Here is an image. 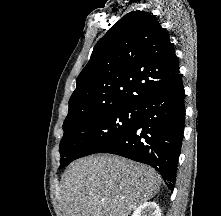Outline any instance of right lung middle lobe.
<instances>
[{"label":"right lung middle lobe","instance_id":"right-lung-middle-lobe-1","mask_svg":"<svg viewBox=\"0 0 221 216\" xmlns=\"http://www.w3.org/2000/svg\"><path fill=\"white\" fill-rule=\"evenodd\" d=\"M138 106L105 109L69 125H63L60 143L61 166L75 159L100 153L135 124Z\"/></svg>","mask_w":221,"mask_h":216}]
</instances>
